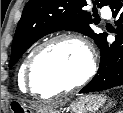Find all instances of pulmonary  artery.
<instances>
[{"mask_svg": "<svg viewBox=\"0 0 123 113\" xmlns=\"http://www.w3.org/2000/svg\"><path fill=\"white\" fill-rule=\"evenodd\" d=\"M102 15L103 17L109 19L111 17V11L109 8H103L102 9Z\"/></svg>", "mask_w": 123, "mask_h": 113, "instance_id": "e3ab8cb5", "label": "pulmonary artery"}]
</instances>
